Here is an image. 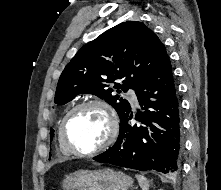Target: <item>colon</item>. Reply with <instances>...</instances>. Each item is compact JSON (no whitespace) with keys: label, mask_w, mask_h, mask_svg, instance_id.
Instances as JSON below:
<instances>
[{"label":"colon","mask_w":221,"mask_h":190,"mask_svg":"<svg viewBox=\"0 0 221 190\" xmlns=\"http://www.w3.org/2000/svg\"><path fill=\"white\" fill-rule=\"evenodd\" d=\"M51 190H57L56 188H53V189H51Z\"/></svg>","instance_id":"5ec220e1"}]
</instances>
